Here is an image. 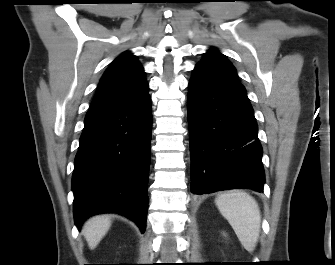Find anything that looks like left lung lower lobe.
Wrapping results in <instances>:
<instances>
[{
  "mask_svg": "<svg viewBox=\"0 0 335 265\" xmlns=\"http://www.w3.org/2000/svg\"><path fill=\"white\" fill-rule=\"evenodd\" d=\"M191 190L263 192L262 146L253 108L237 77L195 67L189 82Z\"/></svg>",
  "mask_w": 335,
  "mask_h": 265,
  "instance_id": "1",
  "label": "left lung lower lobe"
}]
</instances>
